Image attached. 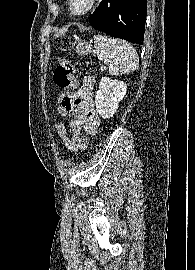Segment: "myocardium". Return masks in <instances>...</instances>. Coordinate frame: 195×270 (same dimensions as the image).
<instances>
[{"label": "myocardium", "instance_id": "myocardium-1", "mask_svg": "<svg viewBox=\"0 0 195 270\" xmlns=\"http://www.w3.org/2000/svg\"><path fill=\"white\" fill-rule=\"evenodd\" d=\"M72 2H73V0H67L68 9L72 15L78 16V17L85 16V15L89 14L90 12H92L95 9V7L98 4V0H90L89 5L83 11L77 12L73 9Z\"/></svg>", "mask_w": 195, "mask_h": 270}]
</instances>
